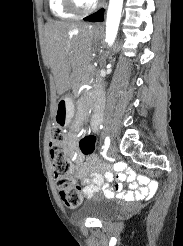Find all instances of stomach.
Segmentation results:
<instances>
[{
  "label": "stomach",
  "mask_w": 183,
  "mask_h": 246,
  "mask_svg": "<svg viewBox=\"0 0 183 246\" xmlns=\"http://www.w3.org/2000/svg\"><path fill=\"white\" fill-rule=\"evenodd\" d=\"M74 114V103L71 97L64 96L58 103L55 113V123L60 127H66L71 122Z\"/></svg>",
  "instance_id": "obj_1"
}]
</instances>
